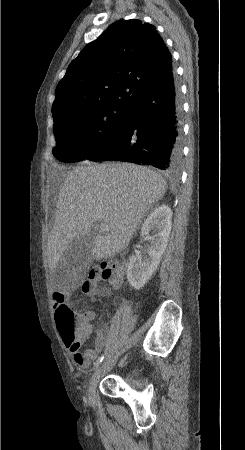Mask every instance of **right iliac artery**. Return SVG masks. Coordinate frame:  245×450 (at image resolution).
Wrapping results in <instances>:
<instances>
[{"label":"right iliac artery","instance_id":"82829eb1","mask_svg":"<svg viewBox=\"0 0 245 450\" xmlns=\"http://www.w3.org/2000/svg\"><path fill=\"white\" fill-rule=\"evenodd\" d=\"M104 359V355H101L96 362L94 363V369L97 368L99 366V364L103 361Z\"/></svg>","mask_w":245,"mask_h":450}]
</instances>
